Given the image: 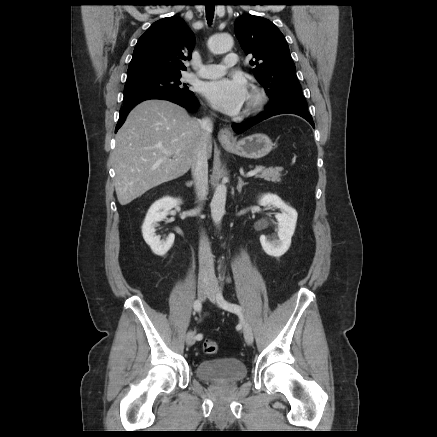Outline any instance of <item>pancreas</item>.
Here are the masks:
<instances>
[{
	"label": "pancreas",
	"mask_w": 437,
	"mask_h": 437,
	"mask_svg": "<svg viewBox=\"0 0 437 437\" xmlns=\"http://www.w3.org/2000/svg\"><path fill=\"white\" fill-rule=\"evenodd\" d=\"M256 169H260L259 174H256L257 178H263L264 180L272 182H281V171L283 170L282 168H264L262 166H259L256 167Z\"/></svg>",
	"instance_id": "1"
}]
</instances>
